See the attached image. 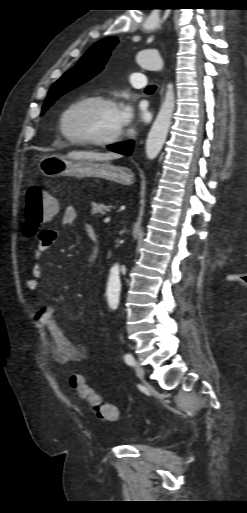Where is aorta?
<instances>
[{"label":"aorta","mask_w":247,"mask_h":513,"mask_svg":"<svg viewBox=\"0 0 247 513\" xmlns=\"http://www.w3.org/2000/svg\"><path fill=\"white\" fill-rule=\"evenodd\" d=\"M136 62L142 68L147 70L161 71L163 69V61L159 53L153 50L141 51L136 57ZM174 107V88L172 84H168L164 100L146 140L145 152L147 158L150 160H153L158 156L165 143L169 128L171 126ZM119 274L120 267L118 264H116L111 269L107 287L109 303L112 308H117L119 304L121 291Z\"/></svg>","instance_id":"1"}]
</instances>
